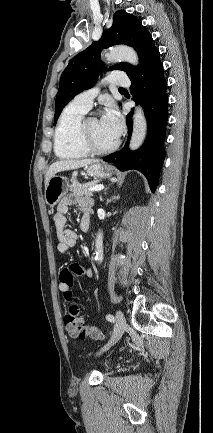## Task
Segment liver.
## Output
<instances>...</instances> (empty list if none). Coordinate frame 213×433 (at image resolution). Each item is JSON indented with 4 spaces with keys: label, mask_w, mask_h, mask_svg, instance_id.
Masks as SVG:
<instances>
[{
    "label": "liver",
    "mask_w": 213,
    "mask_h": 433,
    "mask_svg": "<svg viewBox=\"0 0 213 433\" xmlns=\"http://www.w3.org/2000/svg\"><path fill=\"white\" fill-rule=\"evenodd\" d=\"M98 162L96 159H82V160H62L53 163L45 176V187L48 184L49 180L55 176L56 173L61 171L73 170L80 167H86L93 163Z\"/></svg>",
    "instance_id": "obj_1"
}]
</instances>
